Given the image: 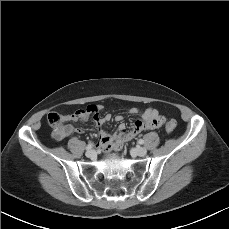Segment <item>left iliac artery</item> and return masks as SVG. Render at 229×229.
Wrapping results in <instances>:
<instances>
[{
	"label": "left iliac artery",
	"mask_w": 229,
	"mask_h": 229,
	"mask_svg": "<svg viewBox=\"0 0 229 229\" xmlns=\"http://www.w3.org/2000/svg\"><path fill=\"white\" fill-rule=\"evenodd\" d=\"M138 143H139V144H144V140H143V139H140V140L138 141Z\"/></svg>",
	"instance_id": "obj_1"
}]
</instances>
